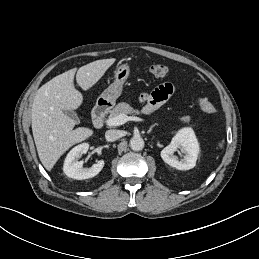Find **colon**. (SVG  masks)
Listing matches in <instances>:
<instances>
[{"instance_id": "obj_1", "label": "colon", "mask_w": 259, "mask_h": 259, "mask_svg": "<svg viewBox=\"0 0 259 259\" xmlns=\"http://www.w3.org/2000/svg\"><path fill=\"white\" fill-rule=\"evenodd\" d=\"M149 72L155 77H165L168 74V68L163 64H153L150 66ZM196 102L198 107L205 113L214 114L217 111L207 98L198 97Z\"/></svg>"}]
</instances>
